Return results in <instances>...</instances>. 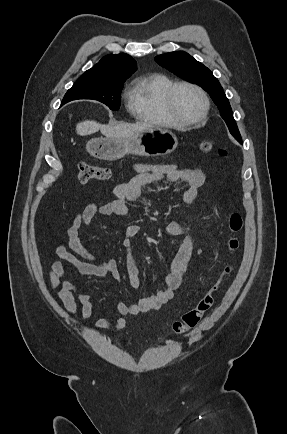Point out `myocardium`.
I'll use <instances>...</instances> for the list:
<instances>
[{"instance_id": "1", "label": "myocardium", "mask_w": 287, "mask_h": 434, "mask_svg": "<svg viewBox=\"0 0 287 434\" xmlns=\"http://www.w3.org/2000/svg\"><path fill=\"white\" fill-rule=\"evenodd\" d=\"M181 87L191 88V89L195 90L199 94V96L201 97L202 102H203V111L199 117H197L195 119L187 120V119L181 118L177 114V112L175 111V104H174L175 94H176L177 90ZM165 106H166V110H167L169 116L178 125L188 126V125L199 124L206 119V117L209 113V109H210V102H209V98H208L206 92L199 85L192 83V82H188V81H179V82H174L166 91Z\"/></svg>"}]
</instances>
